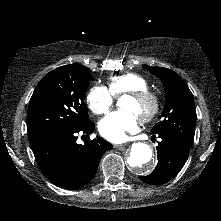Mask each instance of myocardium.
<instances>
[{
    "mask_svg": "<svg viewBox=\"0 0 221 221\" xmlns=\"http://www.w3.org/2000/svg\"><path fill=\"white\" fill-rule=\"evenodd\" d=\"M127 95L138 103L149 105L148 110L139 116L142 122H150L156 117L160 110V100L155 92L146 89L129 92Z\"/></svg>",
    "mask_w": 221,
    "mask_h": 221,
    "instance_id": "myocardium-1",
    "label": "myocardium"
}]
</instances>
